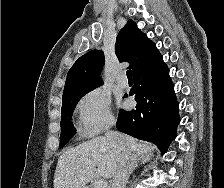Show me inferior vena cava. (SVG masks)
Returning <instances> with one entry per match:
<instances>
[{"label": "inferior vena cava", "instance_id": "inferior-vena-cava-1", "mask_svg": "<svg viewBox=\"0 0 224 188\" xmlns=\"http://www.w3.org/2000/svg\"><path fill=\"white\" fill-rule=\"evenodd\" d=\"M114 122H110L108 128L112 127ZM106 131L105 137L111 144L118 149L119 158L117 169L113 177L112 188H126V183L132 169L133 156L121 134L115 131Z\"/></svg>", "mask_w": 224, "mask_h": 188}]
</instances>
